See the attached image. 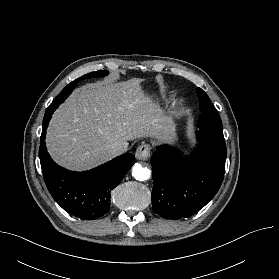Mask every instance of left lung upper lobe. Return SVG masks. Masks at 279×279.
<instances>
[{
  "label": "left lung upper lobe",
  "mask_w": 279,
  "mask_h": 279,
  "mask_svg": "<svg viewBox=\"0 0 279 279\" xmlns=\"http://www.w3.org/2000/svg\"><path fill=\"white\" fill-rule=\"evenodd\" d=\"M197 92L201 111L198 120L199 130L220 141L225 142L220 116L215 111L208 95L201 88H198Z\"/></svg>",
  "instance_id": "obj_1"
}]
</instances>
